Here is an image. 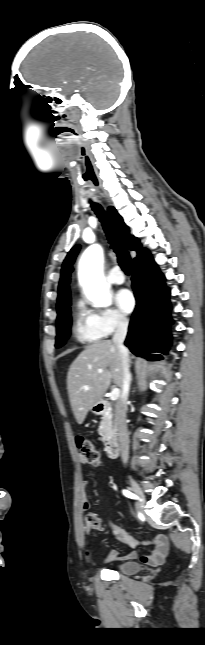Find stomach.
Segmentation results:
<instances>
[{
  "label": "stomach",
  "instance_id": "obj_1",
  "mask_svg": "<svg viewBox=\"0 0 205 645\" xmlns=\"http://www.w3.org/2000/svg\"><path fill=\"white\" fill-rule=\"evenodd\" d=\"M97 406H98V405L96 404V405H94V406L91 408V411H92L93 413H95V414H99V411H98V409H97Z\"/></svg>",
  "mask_w": 205,
  "mask_h": 645
}]
</instances>
